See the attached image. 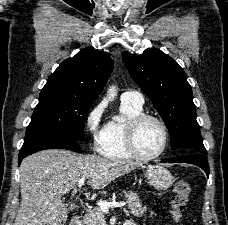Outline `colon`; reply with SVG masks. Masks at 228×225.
Segmentation results:
<instances>
[{
	"label": "colon",
	"mask_w": 228,
	"mask_h": 225,
	"mask_svg": "<svg viewBox=\"0 0 228 225\" xmlns=\"http://www.w3.org/2000/svg\"><path fill=\"white\" fill-rule=\"evenodd\" d=\"M172 208L170 215L174 222H180L183 217L186 203L188 201L191 185L187 180H179L175 182L173 188Z\"/></svg>",
	"instance_id": "obj_1"
}]
</instances>
